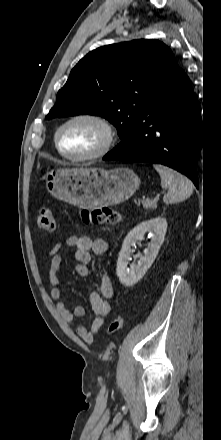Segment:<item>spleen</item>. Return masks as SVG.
Listing matches in <instances>:
<instances>
[{
	"instance_id": "3e777b00",
	"label": "spleen",
	"mask_w": 221,
	"mask_h": 440,
	"mask_svg": "<svg viewBox=\"0 0 221 440\" xmlns=\"http://www.w3.org/2000/svg\"><path fill=\"white\" fill-rule=\"evenodd\" d=\"M153 167L160 175L161 187L168 190L163 197L166 204L178 203L192 195L193 184L187 177L163 165Z\"/></svg>"
}]
</instances>
